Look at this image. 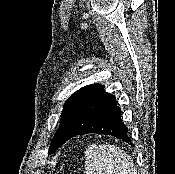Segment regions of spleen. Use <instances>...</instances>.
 Masks as SVG:
<instances>
[{
  "label": "spleen",
  "instance_id": "3e777b00",
  "mask_svg": "<svg viewBox=\"0 0 175 174\" xmlns=\"http://www.w3.org/2000/svg\"><path fill=\"white\" fill-rule=\"evenodd\" d=\"M85 159L86 174H135L132 158L114 145H89Z\"/></svg>",
  "mask_w": 175,
  "mask_h": 174
}]
</instances>
